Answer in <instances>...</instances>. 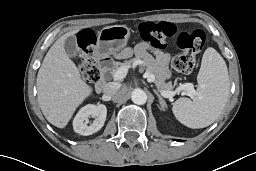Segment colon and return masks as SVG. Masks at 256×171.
<instances>
[{"label":"colon","mask_w":256,"mask_h":171,"mask_svg":"<svg viewBox=\"0 0 256 171\" xmlns=\"http://www.w3.org/2000/svg\"><path fill=\"white\" fill-rule=\"evenodd\" d=\"M139 35L154 49H164L170 40H175L181 53L172 59V67L182 74H190L196 63V56L202 50L206 36L200 29L178 31L171 22H142ZM95 35L89 30H82L78 35L80 70L89 84L98 82L101 72L93 56Z\"/></svg>","instance_id":"5ec220e1"}]
</instances>
